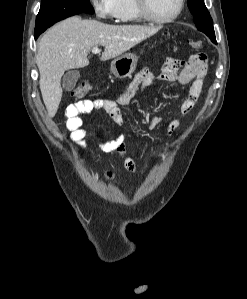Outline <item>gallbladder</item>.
<instances>
[{
    "label": "gallbladder",
    "instance_id": "gallbladder-1",
    "mask_svg": "<svg viewBox=\"0 0 247 299\" xmlns=\"http://www.w3.org/2000/svg\"><path fill=\"white\" fill-rule=\"evenodd\" d=\"M80 77L79 72L72 70V71H68L64 76H63V88L66 91H71L72 89H74L76 82L78 80V78Z\"/></svg>",
    "mask_w": 247,
    "mask_h": 299
}]
</instances>
